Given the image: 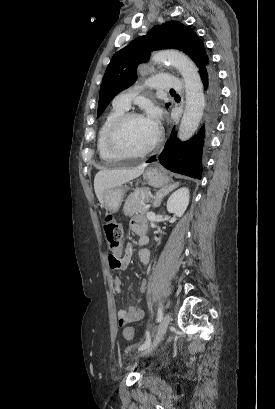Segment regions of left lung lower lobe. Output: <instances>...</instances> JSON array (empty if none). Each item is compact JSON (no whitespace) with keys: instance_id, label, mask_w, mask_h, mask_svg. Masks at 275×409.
Segmentation results:
<instances>
[{"instance_id":"1","label":"left lung lower lobe","mask_w":275,"mask_h":409,"mask_svg":"<svg viewBox=\"0 0 275 409\" xmlns=\"http://www.w3.org/2000/svg\"><path fill=\"white\" fill-rule=\"evenodd\" d=\"M199 73L207 93L205 124L197 135L186 142L179 141L173 129L162 153L158 156L160 163L166 169L197 179H201L205 137L207 134L208 139L215 130L220 110V87L216 71L209 63ZM155 160L156 156H153L147 162Z\"/></svg>"}]
</instances>
